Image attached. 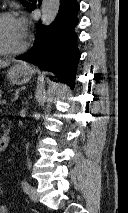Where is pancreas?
Segmentation results:
<instances>
[{"label":"pancreas","instance_id":"pancreas-1","mask_svg":"<svg viewBox=\"0 0 128 213\" xmlns=\"http://www.w3.org/2000/svg\"><path fill=\"white\" fill-rule=\"evenodd\" d=\"M1 96H2V91H0V98H1Z\"/></svg>","mask_w":128,"mask_h":213}]
</instances>
